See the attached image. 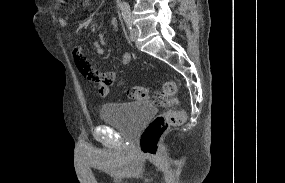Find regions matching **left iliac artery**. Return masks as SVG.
I'll return each mask as SVG.
<instances>
[{
	"label": "left iliac artery",
	"instance_id": "1",
	"mask_svg": "<svg viewBox=\"0 0 285 183\" xmlns=\"http://www.w3.org/2000/svg\"><path fill=\"white\" fill-rule=\"evenodd\" d=\"M122 17L127 25V27L129 29H131V24H132V21H131V11H130V7L129 6H124L122 7Z\"/></svg>",
	"mask_w": 285,
	"mask_h": 183
}]
</instances>
